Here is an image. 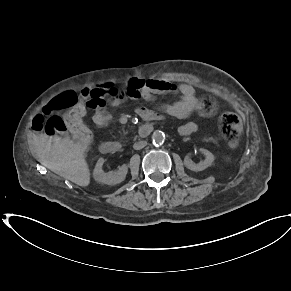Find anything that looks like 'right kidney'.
I'll return each mask as SVG.
<instances>
[{
	"label": "right kidney",
	"mask_w": 291,
	"mask_h": 291,
	"mask_svg": "<svg viewBox=\"0 0 291 291\" xmlns=\"http://www.w3.org/2000/svg\"><path fill=\"white\" fill-rule=\"evenodd\" d=\"M104 162L105 160L103 158H99L96 163L93 176L97 182L107 185H115L124 181L128 172V167L126 164H123L121 167H119L117 172L105 173L102 169Z\"/></svg>",
	"instance_id": "right-kidney-1"
}]
</instances>
